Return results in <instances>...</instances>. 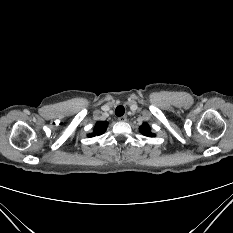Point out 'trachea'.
Here are the masks:
<instances>
[{
	"instance_id": "trachea-1",
	"label": "trachea",
	"mask_w": 233,
	"mask_h": 233,
	"mask_svg": "<svg viewBox=\"0 0 233 233\" xmlns=\"http://www.w3.org/2000/svg\"><path fill=\"white\" fill-rule=\"evenodd\" d=\"M125 113V108L123 106H118L115 110L116 116H123Z\"/></svg>"
}]
</instances>
